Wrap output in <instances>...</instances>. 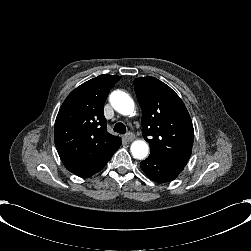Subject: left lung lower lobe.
<instances>
[{
	"label": "left lung lower lobe",
	"instance_id": "left-lung-lower-lobe-1",
	"mask_svg": "<svg viewBox=\"0 0 251 251\" xmlns=\"http://www.w3.org/2000/svg\"><path fill=\"white\" fill-rule=\"evenodd\" d=\"M142 171L153 181L157 183L170 182L177 178L184 167L175 165L155 156L143 160L140 164Z\"/></svg>",
	"mask_w": 251,
	"mask_h": 251
}]
</instances>
